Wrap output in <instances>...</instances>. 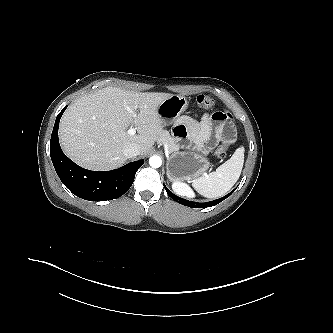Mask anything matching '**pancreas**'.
<instances>
[{"label":"pancreas","mask_w":333,"mask_h":333,"mask_svg":"<svg viewBox=\"0 0 333 333\" xmlns=\"http://www.w3.org/2000/svg\"><path fill=\"white\" fill-rule=\"evenodd\" d=\"M158 140L159 142L166 145V151L169 154H175L179 150V145L177 144V141L171 137L168 131H164V133Z\"/></svg>","instance_id":"obj_1"}]
</instances>
